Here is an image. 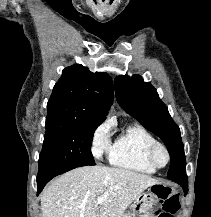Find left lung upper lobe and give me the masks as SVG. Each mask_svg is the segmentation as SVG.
Wrapping results in <instances>:
<instances>
[{
    "label": "left lung upper lobe",
    "instance_id": "obj_1",
    "mask_svg": "<svg viewBox=\"0 0 211 217\" xmlns=\"http://www.w3.org/2000/svg\"><path fill=\"white\" fill-rule=\"evenodd\" d=\"M115 92L120 106L165 143L171 159L168 178L175 182H188L180 129L159 99L156 89L138 75H121L115 79Z\"/></svg>",
    "mask_w": 211,
    "mask_h": 217
}]
</instances>
